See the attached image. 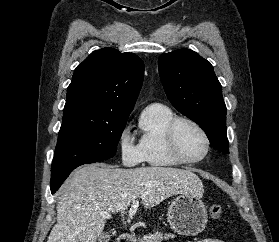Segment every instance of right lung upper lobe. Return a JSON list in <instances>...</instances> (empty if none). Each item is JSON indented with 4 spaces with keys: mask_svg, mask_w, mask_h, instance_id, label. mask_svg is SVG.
Here are the masks:
<instances>
[{
    "mask_svg": "<svg viewBox=\"0 0 279 242\" xmlns=\"http://www.w3.org/2000/svg\"><path fill=\"white\" fill-rule=\"evenodd\" d=\"M144 76V63L133 53L102 48L74 71L64 114L81 112L101 118H125L132 111Z\"/></svg>",
    "mask_w": 279,
    "mask_h": 242,
    "instance_id": "1",
    "label": "right lung upper lobe"
}]
</instances>
